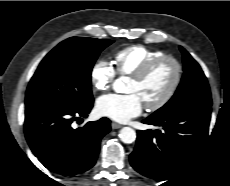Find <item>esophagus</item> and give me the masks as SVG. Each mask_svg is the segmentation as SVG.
I'll use <instances>...</instances> for the list:
<instances>
[{"label":"esophagus","mask_w":230,"mask_h":186,"mask_svg":"<svg viewBox=\"0 0 230 186\" xmlns=\"http://www.w3.org/2000/svg\"><path fill=\"white\" fill-rule=\"evenodd\" d=\"M111 127H112V129H119V128L122 127V125H120V124H118L116 122H112Z\"/></svg>","instance_id":"34e87169"}]
</instances>
